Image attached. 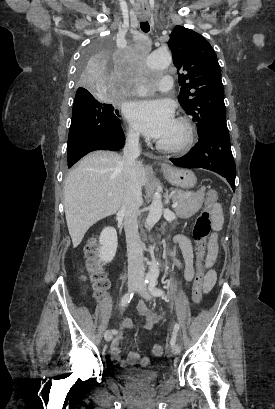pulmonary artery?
Wrapping results in <instances>:
<instances>
[{
  "label": "pulmonary artery",
  "mask_w": 275,
  "mask_h": 409,
  "mask_svg": "<svg viewBox=\"0 0 275 409\" xmlns=\"http://www.w3.org/2000/svg\"><path fill=\"white\" fill-rule=\"evenodd\" d=\"M158 87L162 88L163 94H174L175 87L172 76L168 74L164 77V79H159ZM138 90V95L143 96L144 94L149 93L151 91V88L149 86H139Z\"/></svg>",
  "instance_id": "pulmonary-artery-1"
}]
</instances>
